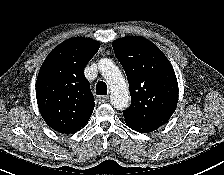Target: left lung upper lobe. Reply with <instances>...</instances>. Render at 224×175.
Listing matches in <instances>:
<instances>
[{"label":"left lung upper lobe","instance_id":"5c2ea615","mask_svg":"<svg viewBox=\"0 0 224 175\" xmlns=\"http://www.w3.org/2000/svg\"><path fill=\"white\" fill-rule=\"evenodd\" d=\"M129 82L131 105L123 111L125 123L160 127L174 113L178 82L169 60L152 42L127 36L112 43Z\"/></svg>","mask_w":224,"mask_h":175}]
</instances>
